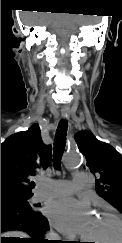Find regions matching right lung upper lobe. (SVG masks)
<instances>
[{"mask_svg": "<svg viewBox=\"0 0 122 243\" xmlns=\"http://www.w3.org/2000/svg\"><path fill=\"white\" fill-rule=\"evenodd\" d=\"M51 155L37 124L8 137L1 144V199L33 195L30 179L49 166Z\"/></svg>", "mask_w": 122, "mask_h": 243, "instance_id": "obj_1", "label": "right lung upper lobe"}]
</instances>
